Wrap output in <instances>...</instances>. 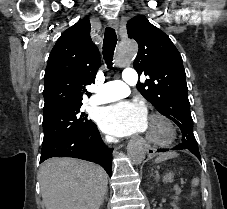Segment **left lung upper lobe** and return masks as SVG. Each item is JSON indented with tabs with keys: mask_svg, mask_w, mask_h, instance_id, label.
<instances>
[{
	"mask_svg": "<svg viewBox=\"0 0 227 209\" xmlns=\"http://www.w3.org/2000/svg\"><path fill=\"white\" fill-rule=\"evenodd\" d=\"M128 37L139 45L134 68L149 76L137 89L143 97L167 118L174 121L182 133L181 146L199 151L193 134V120L187 96L186 74L182 57L171 39L144 16L127 23Z\"/></svg>",
	"mask_w": 227,
	"mask_h": 209,
	"instance_id": "obj_1",
	"label": "left lung upper lobe"
}]
</instances>
